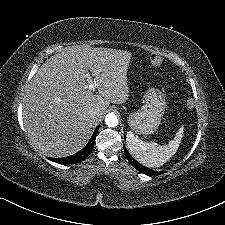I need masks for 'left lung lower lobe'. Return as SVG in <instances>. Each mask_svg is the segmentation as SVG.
<instances>
[{
  "label": "left lung lower lobe",
  "mask_w": 225,
  "mask_h": 225,
  "mask_svg": "<svg viewBox=\"0 0 225 225\" xmlns=\"http://www.w3.org/2000/svg\"><path fill=\"white\" fill-rule=\"evenodd\" d=\"M124 152H125V155H126L128 161L138 171H140V172H142L144 174H150V175H159V174H161V172L150 170V169L142 166L141 164H139L136 160H134V158L131 157V155L128 153L127 149L125 148V146H124Z\"/></svg>",
  "instance_id": "left-lung-lower-lobe-1"
}]
</instances>
